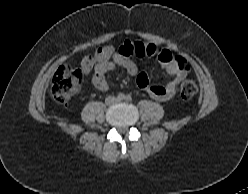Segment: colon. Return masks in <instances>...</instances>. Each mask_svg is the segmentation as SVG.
<instances>
[{"label": "colon", "instance_id": "colon-1", "mask_svg": "<svg viewBox=\"0 0 248 194\" xmlns=\"http://www.w3.org/2000/svg\"><path fill=\"white\" fill-rule=\"evenodd\" d=\"M147 44L136 42L134 54L138 57L145 56ZM80 71L68 64L60 66L51 82V95L59 103H64L80 88ZM197 91V84L193 79H185L180 86V95L183 99H190Z\"/></svg>", "mask_w": 248, "mask_h": 194}]
</instances>
